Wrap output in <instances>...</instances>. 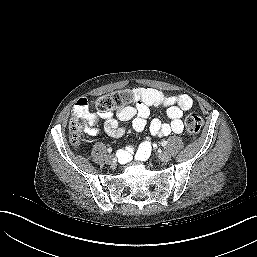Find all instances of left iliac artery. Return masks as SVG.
I'll use <instances>...</instances> for the list:
<instances>
[{
    "label": "left iliac artery",
    "mask_w": 257,
    "mask_h": 257,
    "mask_svg": "<svg viewBox=\"0 0 257 257\" xmlns=\"http://www.w3.org/2000/svg\"><path fill=\"white\" fill-rule=\"evenodd\" d=\"M167 143H168V142L164 140V141H162L161 145H162V146H166Z\"/></svg>",
    "instance_id": "44dca946"
}]
</instances>
